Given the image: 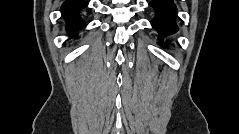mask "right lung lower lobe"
Here are the masks:
<instances>
[{"label":"right lung lower lobe","mask_w":239,"mask_h":134,"mask_svg":"<svg viewBox=\"0 0 239 134\" xmlns=\"http://www.w3.org/2000/svg\"><path fill=\"white\" fill-rule=\"evenodd\" d=\"M87 6L84 0H67L63 3L61 10L67 22L66 29L74 34L83 26V20L79 16V11Z\"/></svg>","instance_id":"right-lung-lower-lobe-1"}]
</instances>
